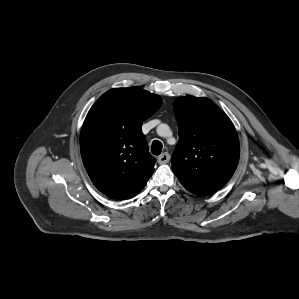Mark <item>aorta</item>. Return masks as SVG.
Here are the masks:
<instances>
[{"label": "aorta", "instance_id": "obj_1", "mask_svg": "<svg viewBox=\"0 0 299 299\" xmlns=\"http://www.w3.org/2000/svg\"><path fill=\"white\" fill-rule=\"evenodd\" d=\"M159 128H164V129L167 130V129H168V126H167V125H160Z\"/></svg>", "mask_w": 299, "mask_h": 299}]
</instances>
